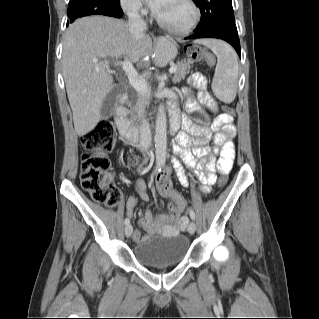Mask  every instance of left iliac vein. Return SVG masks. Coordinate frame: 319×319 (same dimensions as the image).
Listing matches in <instances>:
<instances>
[{
    "label": "left iliac vein",
    "mask_w": 319,
    "mask_h": 319,
    "mask_svg": "<svg viewBox=\"0 0 319 319\" xmlns=\"http://www.w3.org/2000/svg\"><path fill=\"white\" fill-rule=\"evenodd\" d=\"M196 230V225L194 222H190L189 226H188V232L190 234H194Z\"/></svg>",
    "instance_id": "left-iliac-vein-1"
}]
</instances>
